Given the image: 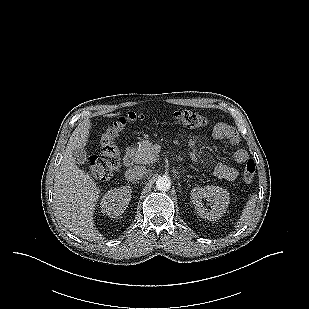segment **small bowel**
<instances>
[{
    "mask_svg": "<svg viewBox=\"0 0 309 309\" xmlns=\"http://www.w3.org/2000/svg\"><path fill=\"white\" fill-rule=\"evenodd\" d=\"M213 137L219 141L229 140L231 143H237L238 141V136L235 130L225 123H217L214 126ZM248 159L249 155L244 149H238L233 154V161L237 165L245 164ZM213 175L217 179L232 181L237 178L238 170L234 166L219 163L215 166Z\"/></svg>",
    "mask_w": 309,
    "mask_h": 309,
    "instance_id": "obj_1",
    "label": "small bowel"
}]
</instances>
